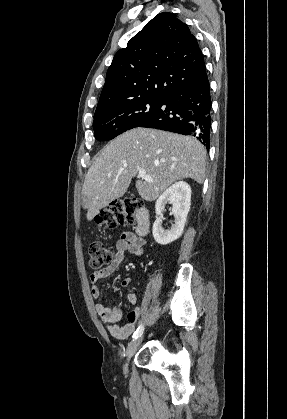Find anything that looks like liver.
<instances>
[{
	"mask_svg": "<svg viewBox=\"0 0 287 419\" xmlns=\"http://www.w3.org/2000/svg\"><path fill=\"white\" fill-rule=\"evenodd\" d=\"M139 170L153 181L137 180V191L142 199L154 201L178 180L203 183L206 150L193 137L162 130L137 127L121 134L99 152L86 174L82 206L87 220L122 197Z\"/></svg>",
	"mask_w": 287,
	"mask_h": 419,
	"instance_id": "obj_1",
	"label": "liver"
}]
</instances>
